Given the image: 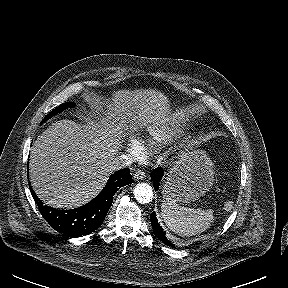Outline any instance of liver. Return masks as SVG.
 Instances as JSON below:
<instances>
[{
    "label": "liver",
    "mask_w": 288,
    "mask_h": 288,
    "mask_svg": "<svg viewBox=\"0 0 288 288\" xmlns=\"http://www.w3.org/2000/svg\"><path fill=\"white\" fill-rule=\"evenodd\" d=\"M167 97L156 90H118L111 99H95V117L85 125L53 123L33 143L29 171L37 196L53 208H76L105 186L110 162L118 153L122 130L167 126L173 118Z\"/></svg>",
    "instance_id": "1"
}]
</instances>
